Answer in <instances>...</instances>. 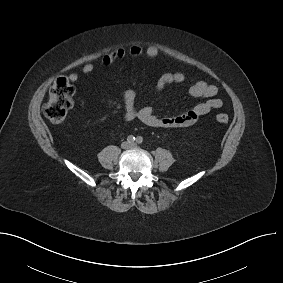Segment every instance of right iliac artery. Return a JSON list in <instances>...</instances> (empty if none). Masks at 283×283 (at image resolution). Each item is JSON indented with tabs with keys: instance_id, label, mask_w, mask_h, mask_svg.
<instances>
[{
	"instance_id": "82829eb1",
	"label": "right iliac artery",
	"mask_w": 283,
	"mask_h": 283,
	"mask_svg": "<svg viewBox=\"0 0 283 283\" xmlns=\"http://www.w3.org/2000/svg\"><path fill=\"white\" fill-rule=\"evenodd\" d=\"M128 143H133L135 141V137L133 135L128 136L127 138Z\"/></svg>"
}]
</instances>
